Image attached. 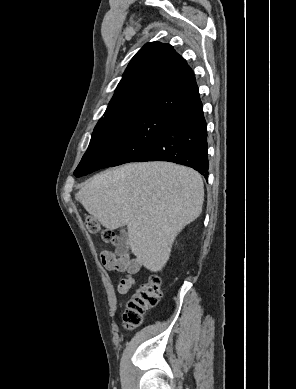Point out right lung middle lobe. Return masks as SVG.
<instances>
[{
  "label": "right lung middle lobe",
  "instance_id": "1",
  "mask_svg": "<svg viewBox=\"0 0 296 389\" xmlns=\"http://www.w3.org/2000/svg\"><path fill=\"white\" fill-rule=\"evenodd\" d=\"M174 120L156 113L101 118L78 167H91L96 171L124 163L139 162L147 149Z\"/></svg>",
  "mask_w": 296,
  "mask_h": 389
}]
</instances>
